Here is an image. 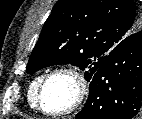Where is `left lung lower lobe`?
<instances>
[{
	"label": "left lung lower lobe",
	"mask_w": 142,
	"mask_h": 119,
	"mask_svg": "<svg viewBox=\"0 0 142 119\" xmlns=\"http://www.w3.org/2000/svg\"><path fill=\"white\" fill-rule=\"evenodd\" d=\"M90 81L89 97L77 119H140L142 30L119 42Z\"/></svg>",
	"instance_id": "obj_1"
}]
</instances>
